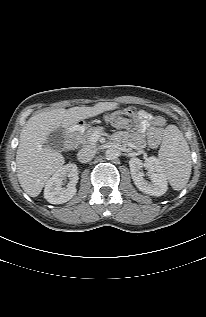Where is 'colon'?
Instances as JSON below:
<instances>
[{
  "label": "colon",
  "mask_w": 206,
  "mask_h": 317,
  "mask_svg": "<svg viewBox=\"0 0 206 317\" xmlns=\"http://www.w3.org/2000/svg\"><path fill=\"white\" fill-rule=\"evenodd\" d=\"M137 118V112L134 108H125L109 113L106 121L113 127L129 128Z\"/></svg>",
  "instance_id": "obj_1"
}]
</instances>
